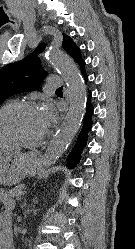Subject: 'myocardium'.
<instances>
[{
  "label": "myocardium",
  "instance_id": "obj_1",
  "mask_svg": "<svg viewBox=\"0 0 135 249\" xmlns=\"http://www.w3.org/2000/svg\"><path fill=\"white\" fill-rule=\"evenodd\" d=\"M12 108L37 109L38 106L36 103L30 102V101H12L10 103L5 104L4 106L0 108V117L2 116L4 112ZM45 135H46V130L37 140L24 141V140L17 139L10 135H3L0 132V141L6 144H14V145H18V146H22L26 148H33V147L39 146L43 142Z\"/></svg>",
  "mask_w": 135,
  "mask_h": 249
}]
</instances>
